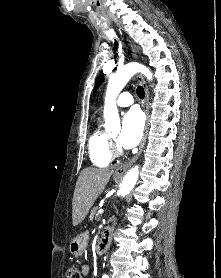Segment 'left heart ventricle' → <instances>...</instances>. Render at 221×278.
Wrapping results in <instances>:
<instances>
[{
    "label": "left heart ventricle",
    "mask_w": 221,
    "mask_h": 278,
    "mask_svg": "<svg viewBox=\"0 0 221 278\" xmlns=\"http://www.w3.org/2000/svg\"><path fill=\"white\" fill-rule=\"evenodd\" d=\"M113 136V138H115L116 137V134H114V135H112Z\"/></svg>",
    "instance_id": "1"
}]
</instances>
